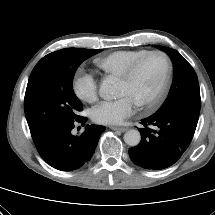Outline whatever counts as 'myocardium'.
<instances>
[{
	"instance_id": "f54148a6",
	"label": "myocardium",
	"mask_w": 215,
	"mask_h": 215,
	"mask_svg": "<svg viewBox=\"0 0 215 215\" xmlns=\"http://www.w3.org/2000/svg\"><path fill=\"white\" fill-rule=\"evenodd\" d=\"M150 56H160L164 59L165 72L162 82L154 95L149 100L137 104L139 107L147 109L153 108L158 104L169 84L172 72V62L168 54L161 50L147 51L146 53L138 57L136 60H134L119 77L122 81H129L134 76L142 62Z\"/></svg>"
}]
</instances>
